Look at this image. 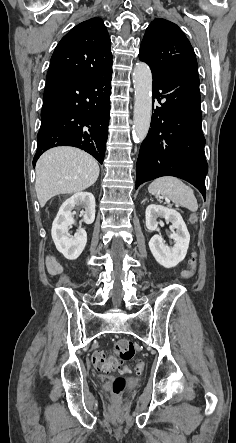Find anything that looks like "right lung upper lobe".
Listing matches in <instances>:
<instances>
[{"mask_svg":"<svg viewBox=\"0 0 236 443\" xmlns=\"http://www.w3.org/2000/svg\"><path fill=\"white\" fill-rule=\"evenodd\" d=\"M110 43L106 26L100 18L78 24L56 46L47 79L94 76L110 70Z\"/></svg>","mask_w":236,"mask_h":443,"instance_id":"right-lung-upper-lobe-1","label":"right lung upper lobe"}]
</instances>
